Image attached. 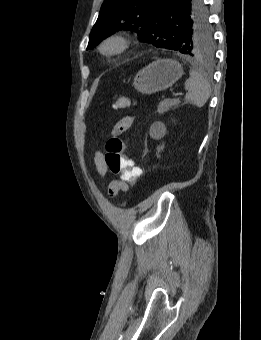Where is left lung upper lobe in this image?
I'll return each instance as SVG.
<instances>
[{
	"label": "left lung upper lobe",
	"instance_id": "obj_1",
	"mask_svg": "<svg viewBox=\"0 0 261 340\" xmlns=\"http://www.w3.org/2000/svg\"><path fill=\"white\" fill-rule=\"evenodd\" d=\"M165 0H105L93 26L87 49L119 30H130L138 39L158 48L176 50L195 57L211 56L214 40L204 4L191 17L176 22L163 21L160 15Z\"/></svg>",
	"mask_w": 261,
	"mask_h": 340
}]
</instances>
